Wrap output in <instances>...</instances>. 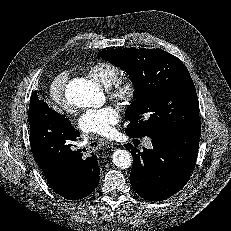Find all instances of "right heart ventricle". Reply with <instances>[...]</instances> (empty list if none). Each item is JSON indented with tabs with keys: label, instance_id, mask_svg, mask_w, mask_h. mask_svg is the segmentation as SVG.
<instances>
[{
	"label": "right heart ventricle",
	"instance_id": "e07e8e85",
	"mask_svg": "<svg viewBox=\"0 0 231 231\" xmlns=\"http://www.w3.org/2000/svg\"><path fill=\"white\" fill-rule=\"evenodd\" d=\"M85 72L104 88H109L120 76L119 69L115 65L105 61L93 63L85 69Z\"/></svg>",
	"mask_w": 231,
	"mask_h": 231
}]
</instances>
